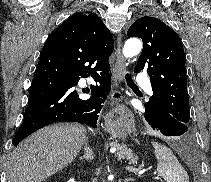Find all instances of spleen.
<instances>
[{
	"instance_id": "1",
	"label": "spleen",
	"mask_w": 211,
	"mask_h": 182,
	"mask_svg": "<svg viewBox=\"0 0 211 182\" xmlns=\"http://www.w3.org/2000/svg\"><path fill=\"white\" fill-rule=\"evenodd\" d=\"M152 146L158 160L157 172L166 182H189L186 171L171 149L158 142H152Z\"/></svg>"
}]
</instances>
